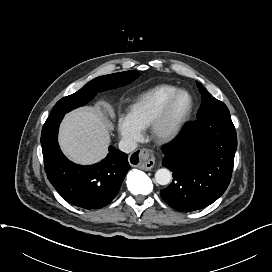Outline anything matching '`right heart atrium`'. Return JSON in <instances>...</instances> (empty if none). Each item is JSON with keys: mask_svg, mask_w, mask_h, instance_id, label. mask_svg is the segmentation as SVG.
Here are the masks:
<instances>
[{"mask_svg": "<svg viewBox=\"0 0 272 272\" xmlns=\"http://www.w3.org/2000/svg\"><path fill=\"white\" fill-rule=\"evenodd\" d=\"M117 126L121 137L127 143L135 144L140 141L142 132L131 122L128 116H120L118 118Z\"/></svg>", "mask_w": 272, "mask_h": 272, "instance_id": "d8ad5b80", "label": "right heart atrium"}]
</instances>
